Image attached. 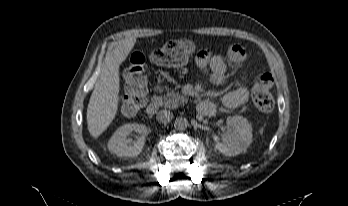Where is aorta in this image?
<instances>
[{
	"label": "aorta",
	"mask_w": 348,
	"mask_h": 206,
	"mask_svg": "<svg viewBox=\"0 0 348 206\" xmlns=\"http://www.w3.org/2000/svg\"><path fill=\"white\" fill-rule=\"evenodd\" d=\"M174 127L178 130H185L188 127V120L184 117L176 118Z\"/></svg>",
	"instance_id": "762f6f07"
}]
</instances>
